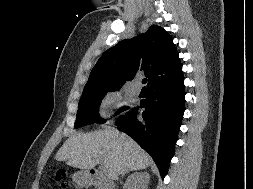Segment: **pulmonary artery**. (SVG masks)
Segmentation results:
<instances>
[{
    "label": "pulmonary artery",
    "instance_id": "pulmonary-artery-1",
    "mask_svg": "<svg viewBox=\"0 0 253 189\" xmlns=\"http://www.w3.org/2000/svg\"><path fill=\"white\" fill-rule=\"evenodd\" d=\"M133 92L134 94H139L141 92V82L137 81L133 85Z\"/></svg>",
    "mask_w": 253,
    "mask_h": 189
}]
</instances>
